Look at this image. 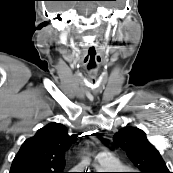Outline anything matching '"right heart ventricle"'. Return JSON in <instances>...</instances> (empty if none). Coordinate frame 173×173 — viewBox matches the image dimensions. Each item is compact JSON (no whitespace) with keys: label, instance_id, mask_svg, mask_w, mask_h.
<instances>
[{"label":"right heart ventricle","instance_id":"right-heart-ventricle-1","mask_svg":"<svg viewBox=\"0 0 173 173\" xmlns=\"http://www.w3.org/2000/svg\"><path fill=\"white\" fill-rule=\"evenodd\" d=\"M101 165H104V167L108 169H116L117 171H124L126 169V167L113 156H110V158L107 161L101 163ZM107 165L109 166L107 167Z\"/></svg>","mask_w":173,"mask_h":173}]
</instances>
